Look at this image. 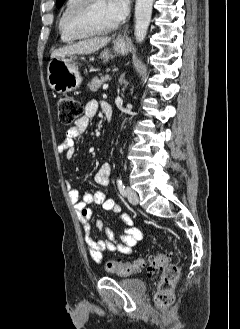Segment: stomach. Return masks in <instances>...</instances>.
I'll return each instance as SVG.
<instances>
[{
    "label": "stomach",
    "mask_w": 240,
    "mask_h": 329,
    "mask_svg": "<svg viewBox=\"0 0 240 329\" xmlns=\"http://www.w3.org/2000/svg\"><path fill=\"white\" fill-rule=\"evenodd\" d=\"M115 53L125 55L128 52L125 42L116 39L113 42ZM102 57L109 59L108 50L102 52ZM76 57L73 55L51 58L47 67V80L50 88L56 93H68L74 91L82 82Z\"/></svg>",
    "instance_id": "0dacf381"
}]
</instances>
